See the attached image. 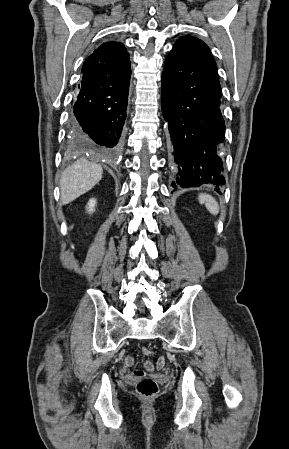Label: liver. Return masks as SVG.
Wrapping results in <instances>:
<instances>
[{"label":"liver","instance_id":"1","mask_svg":"<svg viewBox=\"0 0 289 449\" xmlns=\"http://www.w3.org/2000/svg\"><path fill=\"white\" fill-rule=\"evenodd\" d=\"M102 167L81 159L68 166L60 179L61 204L66 205L91 190L101 179Z\"/></svg>","mask_w":289,"mask_h":449}]
</instances>
